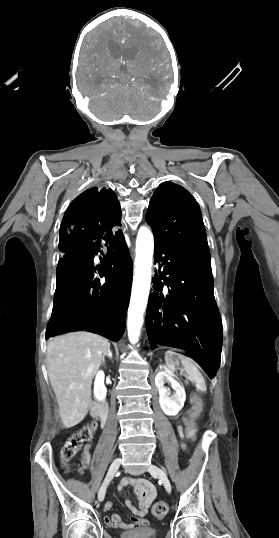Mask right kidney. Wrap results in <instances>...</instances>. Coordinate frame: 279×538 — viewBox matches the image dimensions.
Masks as SVG:
<instances>
[{
    "instance_id": "obj_1",
    "label": "right kidney",
    "mask_w": 279,
    "mask_h": 538,
    "mask_svg": "<svg viewBox=\"0 0 279 538\" xmlns=\"http://www.w3.org/2000/svg\"><path fill=\"white\" fill-rule=\"evenodd\" d=\"M104 372H98L94 382V396L97 400H105L107 390L104 386Z\"/></svg>"
}]
</instances>
